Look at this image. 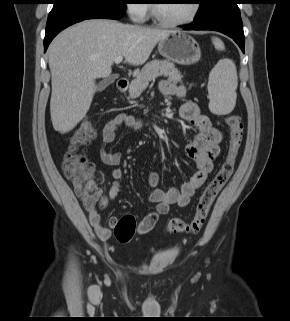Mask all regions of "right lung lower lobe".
<instances>
[{
    "mask_svg": "<svg viewBox=\"0 0 290 321\" xmlns=\"http://www.w3.org/2000/svg\"><path fill=\"white\" fill-rule=\"evenodd\" d=\"M125 15V11H106V12H79V11H60L50 12L44 39V49L47 50L52 39L63 29L85 19L106 18L120 19Z\"/></svg>",
    "mask_w": 290,
    "mask_h": 321,
    "instance_id": "1",
    "label": "right lung lower lobe"
}]
</instances>
